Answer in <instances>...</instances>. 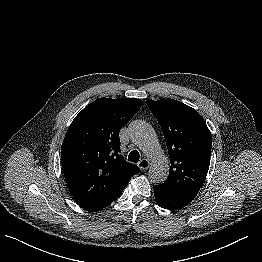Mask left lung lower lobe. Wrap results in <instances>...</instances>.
<instances>
[{
	"label": "left lung lower lobe",
	"instance_id": "1",
	"mask_svg": "<svg viewBox=\"0 0 262 262\" xmlns=\"http://www.w3.org/2000/svg\"><path fill=\"white\" fill-rule=\"evenodd\" d=\"M153 188L158 205L164 209L178 210L193 200L190 197L171 192L160 185H155Z\"/></svg>",
	"mask_w": 262,
	"mask_h": 262
}]
</instances>
